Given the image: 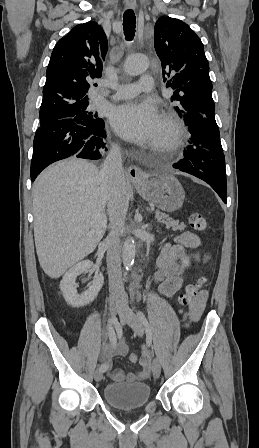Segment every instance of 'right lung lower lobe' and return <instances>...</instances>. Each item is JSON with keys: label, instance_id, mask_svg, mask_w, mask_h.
Listing matches in <instances>:
<instances>
[{"label": "right lung lower lobe", "instance_id": "obj_1", "mask_svg": "<svg viewBox=\"0 0 259 448\" xmlns=\"http://www.w3.org/2000/svg\"><path fill=\"white\" fill-rule=\"evenodd\" d=\"M104 121L93 126L78 124L67 118L39 126L33 142L31 181L48 165L67 157L99 159L107 151Z\"/></svg>", "mask_w": 259, "mask_h": 448}]
</instances>
